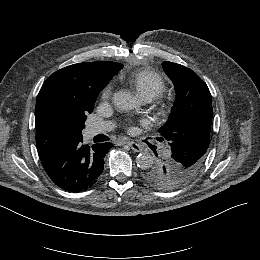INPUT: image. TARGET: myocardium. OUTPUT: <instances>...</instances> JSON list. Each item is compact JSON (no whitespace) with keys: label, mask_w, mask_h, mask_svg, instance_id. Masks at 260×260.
I'll list each match as a JSON object with an SVG mask.
<instances>
[{"label":"myocardium","mask_w":260,"mask_h":260,"mask_svg":"<svg viewBox=\"0 0 260 260\" xmlns=\"http://www.w3.org/2000/svg\"><path fill=\"white\" fill-rule=\"evenodd\" d=\"M176 100L173 96H169L165 99H162L159 102V114L167 115L169 114L175 107Z\"/></svg>","instance_id":"myocardium-1"}]
</instances>
